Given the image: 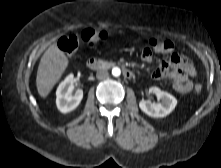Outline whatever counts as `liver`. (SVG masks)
<instances>
[{
	"instance_id": "obj_1",
	"label": "liver",
	"mask_w": 221,
	"mask_h": 168,
	"mask_svg": "<svg viewBox=\"0 0 221 168\" xmlns=\"http://www.w3.org/2000/svg\"><path fill=\"white\" fill-rule=\"evenodd\" d=\"M69 60L57 45H51L43 54L37 70L36 87L39 95L46 98L68 67Z\"/></svg>"
}]
</instances>
